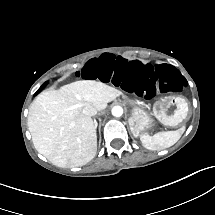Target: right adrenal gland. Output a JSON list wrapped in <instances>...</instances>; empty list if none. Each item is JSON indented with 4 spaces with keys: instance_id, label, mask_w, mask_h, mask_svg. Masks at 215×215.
Wrapping results in <instances>:
<instances>
[{
    "instance_id": "obj_1",
    "label": "right adrenal gland",
    "mask_w": 215,
    "mask_h": 215,
    "mask_svg": "<svg viewBox=\"0 0 215 215\" xmlns=\"http://www.w3.org/2000/svg\"><path fill=\"white\" fill-rule=\"evenodd\" d=\"M98 123L96 121V119H94V128L97 129Z\"/></svg>"
}]
</instances>
